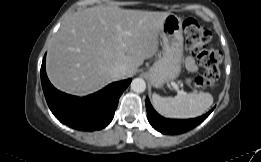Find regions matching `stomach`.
Listing matches in <instances>:
<instances>
[{"label": "stomach", "mask_w": 261, "mask_h": 162, "mask_svg": "<svg viewBox=\"0 0 261 162\" xmlns=\"http://www.w3.org/2000/svg\"><path fill=\"white\" fill-rule=\"evenodd\" d=\"M161 38L162 55L148 72L149 80L156 88L176 79L181 72L183 57L182 19L175 14H169L163 22Z\"/></svg>", "instance_id": "stomach-1"}]
</instances>
